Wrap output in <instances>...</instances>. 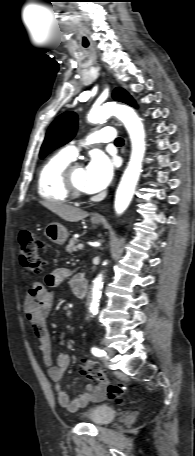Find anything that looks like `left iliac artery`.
Returning <instances> with one entry per match:
<instances>
[{"label":"left iliac artery","instance_id":"obj_1","mask_svg":"<svg viewBox=\"0 0 195 456\" xmlns=\"http://www.w3.org/2000/svg\"><path fill=\"white\" fill-rule=\"evenodd\" d=\"M91 352H92L93 355H95L97 357L106 356V352L104 350H101V349L97 348V347H92Z\"/></svg>","mask_w":195,"mask_h":456}]
</instances>
